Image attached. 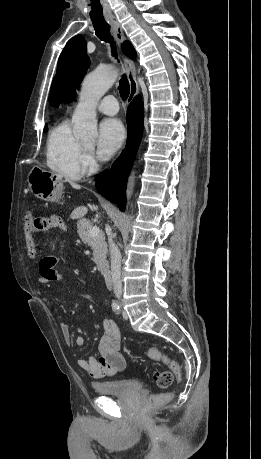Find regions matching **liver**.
Listing matches in <instances>:
<instances>
[{"instance_id":"1","label":"liver","mask_w":261,"mask_h":459,"mask_svg":"<svg viewBox=\"0 0 261 459\" xmlns=\"http://www.w3.org/2000/svg\"><path fill=\"white\" fill-rule=\"evenodd\" d=\"M71 186L74 188V189H80L81 186L79 184H76V183H71ZM88 209L84 206L82 207H78L77 209L74 210V212L72 213V217L75 218V217H78V216H83L87 213Z\"/></svg>"}]
</instances>
